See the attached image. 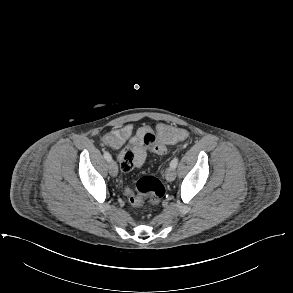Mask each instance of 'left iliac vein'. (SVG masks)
<instances>
[{
  "instance_id": "1",
  "label": "left iliac vein",
  "mask_w": 293,
  "mask_h": 293,
  "mask_svg": "<svg viewBox=\"0 0 293 293\" xmlns=\"http://www.w3.org/2000/svg\"><path fill=\"white\" fill-rule=\"evenodd\" d=\"M165 177L168 181H173L176 178L175 169L172 167L167 168L165 171Z\"/></svg>"
}]
</instances>
